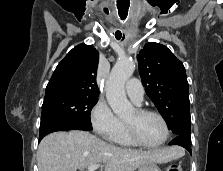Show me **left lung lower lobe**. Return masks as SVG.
Masks as SVG:
<instances>
[{"mask_svg":"<svg viewBox=\"0 0 223 171\" xmlns=\"http://www.w3.org/2000/svg\"><path fill=\"white\" fill-rule=\"evenodd\" d=\"M170 145L182 146L191 153V139L183 136H175V139L170 142Z\"/></svg>","mask_w":223,"mask_h":171,"instance_id":"1","label":"left lung lower lobe"}]
</instances>
